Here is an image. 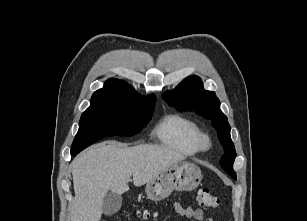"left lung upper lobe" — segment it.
Listing matches in <instances>:
<instances>
[{
  "label": "left lung upper lobe",
  "instance_id": "1",
  "mask_svg": "<svg viewBox=\"0 0 307 221\" xmlns=\"http://www.w3.org/2000/svg\"><path fill=\"white\" fill-rule=\"evenodd\" d=\"M162 97L170 106L178 110H194L197 114L212 120L225 151L220 165L236 180V173L233 170L236 152L230 137L231 127L227 117L220 110V101L215 93L204 90L199 77L189 76L176 89L166 92Z\"/></svg>",
  "mask_w": 307,
  "mask_h": 221
}]
</instances>
